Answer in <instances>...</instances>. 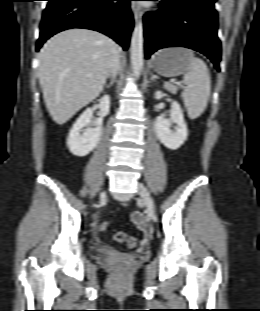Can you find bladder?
Here are the masks:
<instances>
[{
	"mask_svg": "<svg viewBox=\"0 0 260 311\" xmlns=\"http://www.w3.org/2000/svg\"><path fill=\"white\" fill-rule=\"evenodd\" d=\"M92 250L95 254L97 255H101V256H105L107 254H109V249L102 247V246H93Z\"/></svg>",
	"mask_w": 260,
	"mask_h": 311,
	"instance_id": "obj_1",
	"label": "bladder"
}]
</instances>
